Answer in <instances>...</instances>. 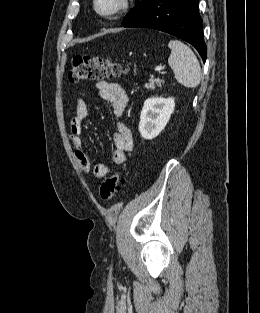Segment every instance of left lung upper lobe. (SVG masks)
Masks as SVG:
<instances>
[{"instance_id":"5c2ea615","label":"left lung upper lobe","mask_w":260,"mask_h":313,"mask_svg":"<svg viewBox=\"0 0 260 313\" xmlns=\"http://www.w3.org/2000/svg\"><path fill=\"white\" fill-rule=\"evenodd\" d=\"M135 1L136 5L134 9L124 17L123 19L124 23L129 22L136 15H138L150 3L151 0H135Z\"/></svg>"}]
</instances>
